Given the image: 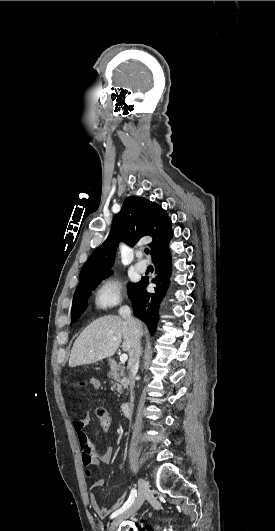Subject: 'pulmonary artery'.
Wrapping results in <instances>:
<instances>
[{"mask_svg": "<svg viewBox=\"0 0 275 531\" xmlns=\"http://www.w3.org/2000/svg\"><path fill=\"white\" fill-rule=\"evenodd\" d=\"M137 256L139 257V261L135 264V268L139 272H145L148 268L147 263L143 260V257L145 256V252L143 248H140L137 252Z\"/></svg>", "mask_w": 275, "mask_h": 531, "instance_id": "pulmonary-artery-1", "label": "pulmonary artery"}]
</instances>
